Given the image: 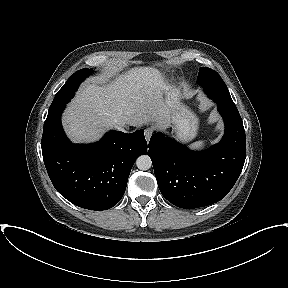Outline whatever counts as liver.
Wrapping results in <instances>:
<instances>
[{
	"label": "liver",
	"instance_id": "obj_1",
	"mask_svg": "<svg viewBox=\"0 0 288 288\" xmlns=\"http://www.w3.org/2000/svg\"><path fill=\"white\" fill-rule=\"evenodd\" d=\"M165 90L166 84L154 67H134L120 75L97 77L81 86L69 103L62 120L65 132L74 143H88L116 125L155 123L166 128L170 119Z\"/></svg>",
	"mask_w": 288,
	"mask_h": 288
}]
</instances>
